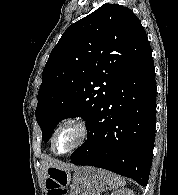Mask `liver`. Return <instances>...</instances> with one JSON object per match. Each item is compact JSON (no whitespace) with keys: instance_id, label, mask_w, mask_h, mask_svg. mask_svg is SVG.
Returning <instances> with one entry per match:
<instances>
[{"instance_id":"obj_1","label":"liver","mask_w":178,"mask_h":195,"mask_svg":"<svg viewBox=\"0 0 178 195\" xmlns=\"http://www.w3.org/2000/svg\"><path fill=\"white\" fill-rule=\"evenodd\" d=\"M50 167L64 169V170H71L73 168V166L70 164H64V163H61L60 161L55 160L53 158L45 157V159L43 161L44 171L46 172L47 169Z\"/></svg>"}]
</instances>
